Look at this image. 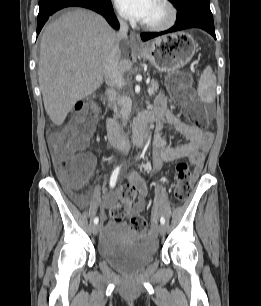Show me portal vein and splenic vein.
<instances>
[{
  "label": "portal vein and splenic vein",
  "mask_w": 261,
  "mask_h": 306,
  "mask_svg": "<svg viewBox=\"0 0 261 306\" xmlns=\"http://www.w3.org/2000/svg\"><path fill=\"white\" fill-rule=\"evenodd\" d=\"M148 93H151V90H150V88L148 89Z\"/></svg>",
  "instance_id": "18ae733b"
}]
</instances>
